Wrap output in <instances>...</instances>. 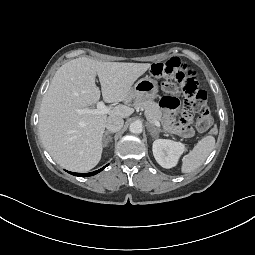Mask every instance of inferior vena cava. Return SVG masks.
<instances>
[{"mask_svg": "<svg viewBox=\"0 0 255 255\" xmlns=\"http://www.w3.org/2000/svg\"><path fill=\"white\" fill-rule=\"evenodd\" d=\"M124 121L119 117H110L107 119L106 128L110 132H117L123 127Z\"/></svg>", "mask_w": 255, "mask_h": 255, "instance_id": "1", "label": "inferior vena cava"}]
</instances>
